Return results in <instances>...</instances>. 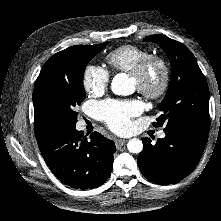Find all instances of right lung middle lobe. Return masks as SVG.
I'll return each instance as SVG.
<instances>
[{
    "label": "right lung middle lobe",
    "mask_w": 221,
    "mask_h": 221,
    "mask_svg": "<svg viewBox=\"0 0 221 221\" xmlns=\"http://www.w3.org/2000/svg\"><path fill=\"white\" fill-rule=\"evenodd\" d=\"M107 44L79 45L69 53L52 58L42 68L34 91L54 114L58 127L76 125L75 106L85 98L83 75L86 65Z\"/></svg>",
    "instance_id": "dd1d6c3e"
}]
</instances>
